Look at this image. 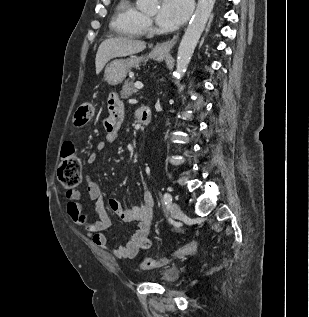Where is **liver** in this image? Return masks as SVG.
I'll return each mask as SVG.
<instances>
[{"instance_id":"obj_1","label":"liver","mask_w":309,"mask_h":317,"mask_svg":"<svg viewBox=\"0 0 309 317\" xmlns=\"http://www.w3.org/2000/svg\"><path fill=\"white\" fill-rule=\"evenodd\" d=\"M146 48V43L129 38H108L104 40L97 51L95 66L96 74H99L106 63L116 57H124L139 53Z\"/></svg>"}]
</instances>
